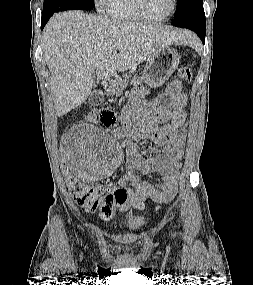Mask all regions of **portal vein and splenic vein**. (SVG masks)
I'll return each instance as SVG.
<instances>
[{"label":"portal vein and splenic vein","mask_w":253,"mask_h":285,"mask_svg":"<svg viewBox=\"0 0 253 285\" xmlns=\"http://www.w3.org/2000/svg\"><path fill=\"white\" fill-rule=\"evenodd\" d=\"M118 48H119V49H122V48H123V46H122V45H118Z\"/></svg>","instance_id":"1"}]
</instances>
